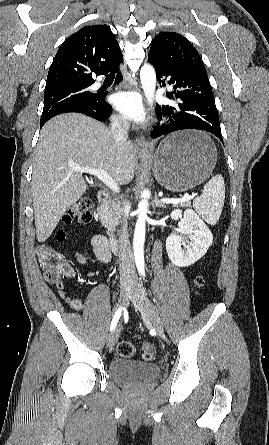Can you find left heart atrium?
I'll use <instances>...</instances> for the list:
<instances>
[{
    "label": "left heart atrium",
    "instance_id": "39dd6f15",
    "mask_svg": "<svg viewBox=\"0 0 269 445\" xmlns=\"http://www.w3.org/2000/svg\"><path fill=\"white\" fill-rule=\"evenodd\" d=\"M113 104L124 117L139 121L143 118V107L138 96L130 92H119L113 96Z\"/></svg>",
    "mask_w": 269,
    "mask_h": 445
}]
</instances>
